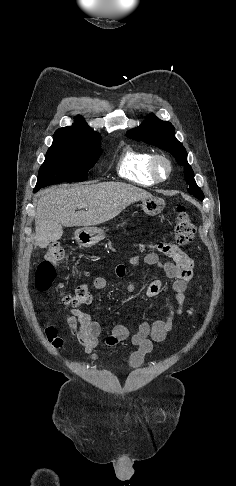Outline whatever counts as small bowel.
<instances>
[{
  "label": "small bowel",
  "mask_w": 236,
  "mask_h": 486,
  "mask_svg": "<svg viewBox=\"0 0 236 486\" xmlns=\"http://www.w3.org/2000/svg\"><path fill=\"white\" fill-rule=\"evenodd\" d=\"M159 250L170 257L172 261L161 262L158 254L151 252L145 256L144 262L147 265L158 266L168 278L173 280L172 290L174 294L172 297L168 296L165 298L166 317L152 323L142 322L135 333H131L125 325H114L111 335L106 338V343L109 346L116 345L121 341H129L136 346V350L129 357V365L132 368L139 367L143 363L145 356L152 351L155 342L165 340L172 330L174 316L182 315L185 312L183 304L187 285L193 277V260L173 244H160ZM129 264L133 269H138L141 266L140 258L137 256L130 258ZM115 273L119 278L124 277L126 267L123 264H119L115 269ZM92 287L97 290L105 289L107 280L103 277H95L92 280ZM161 290V281L152 279L146 285L144 294L148 298H155L160 295ZM128 291L131 294H136L137 292L132 284L128 286ZM186 313L191 315L192 310L189 309ZM65 319L71 334L82 345L85 352L93 359H97L98 356L95 353V349L98 346L99 336L102 331L100 323L93 320L90 314L75 309H67Z\"/></svg>",
  "instance_id": "1"
}]
</instances>
